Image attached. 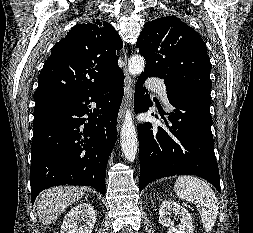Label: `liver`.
<instances>
[{
	"label": "liver",
	"mask_w": 253,
	"mask_h": 233,
	"mask_svg": "<svg viewBox=\"0 0 253 233\" xmlns=\"http://www.w3.org/2000/svg\"><path fill=\"white\" fill-rule=\"evenodd\" d=\"M83 188L60 186L42 192L37 201V213L44 225L53 222L68 206L81 199Z\"/></svg>",
	"instance_id": "liver-1"
}]
</instances>
